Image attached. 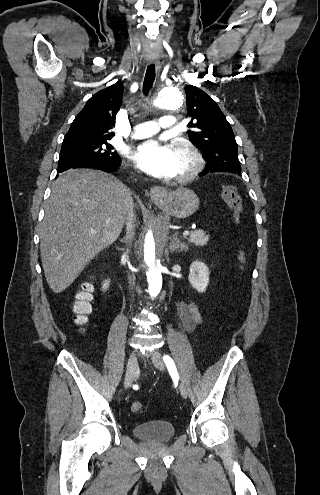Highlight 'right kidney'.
<instances>
[{"label":"right kidney","mask_w":320,"mask_h":495,"mask_svg":"<svg viewBox=\"0 0 320 495\" xmlns=\"http://www.w3.org/2000/svg\"><path fill=\"white\" fill-rule=\"evenodd\" d=\"M109 285H110V280H105L103 285H102V290L106 291V289L109 287Z\"/></svg>","instance_id":"1"}]
</instances>
